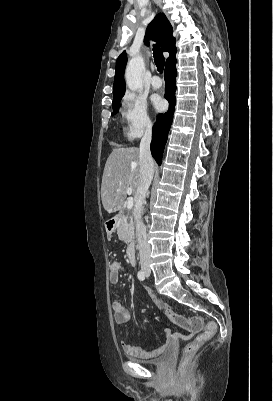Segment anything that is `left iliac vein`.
Instances as JSON below:
<instances>
[{
  "mask_svg": "<svg viewBox=\"0 0 273 401\" xmlns=\"http://www.w3.org/2000/svg\"><path fill=\"white\" fill-rule=\"evenodd\" d=\"M150 273H151V270H150V268L148 266V269L145 271V274H146V276H150Z\"/></svg>",
  "mask_w": 273,
  "mask_h": 401,
  "instance_id": "1",
  "label": "left iliac vein"
}]
</instances>
